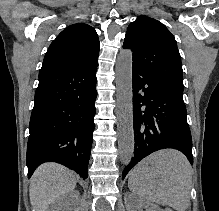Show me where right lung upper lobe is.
Listing matches in <instances>:
<instances>
[{"mask_svg": "<svg viewBox=\"0 0 219 211\" xmlns=\"http://www.w3.org/2000/svg\"><path fill=\"white\" fill-rule=\"evenodd\" d=\"M99 40L96 31L84 23L67 27L51 43L42 68L89 67L97 63Z\"/></svg>", "mask_w": 219, "mask_h": 211, "instance_id": "obj_1", "label": "right lung upper lobe"}]
</instances>
